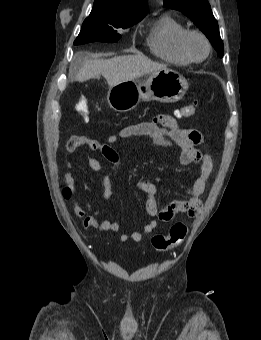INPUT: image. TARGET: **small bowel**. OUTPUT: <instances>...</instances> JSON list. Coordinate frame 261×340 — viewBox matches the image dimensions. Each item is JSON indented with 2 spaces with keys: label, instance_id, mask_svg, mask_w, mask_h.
<instances>
[{
  "label": "small bowel",
  "instance_id": "small-bowel-1",
  "mask_svg": "<svg viewBox=\"0 0 261 340\" xmlns=\"http://www.w3.org/2000/svg\"><path fill=\"white\" fill-rule=\"evenodd\" d=\"M146 136L152 141L164 148L177 147L180 149L179 162L181 165L195 164L199 168V176L192 182L188 188L189 198L187 200H176L168 206L159 209L157 203V188L150 180H141L138 183L139 189L146 195L147 213L156 217V219L147 223L141 231L132 233H121L122 242H140L145 234L153 232L158 221H171L178 214L184 213L190 217L197 215L202 210L201 196L205 191L206 180L209 177L213 164L210 156L202 153L198 145L202 141L201 133L196 129L181 128L172 115L162 114L149 122H142L129 125L121 129L117 134H111L107 137L105 143L92 139L85 135H74L66 143V149L74 153L80 147L86 146L93 151H99L101 155L111 164L117 165L120 162L118 152L112 147L120 139L129 137ZM88 166L91 170L103 174V192L102 197L109 199L112 195V181L108 174L105 173L101 162L93 157L88 158ZM65 181L73 195L72 206L74 215L82 220L84 229L93 228L103 232H119L120 224L114 221L104 220L98 222L93 216L86 215L90 206H83L77 199L76 179L68 172L65 173Z\"/></svg>",
  "mask_w": 261,
  "mask_h": 340
}]
</instances>
